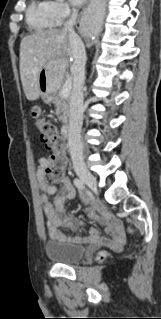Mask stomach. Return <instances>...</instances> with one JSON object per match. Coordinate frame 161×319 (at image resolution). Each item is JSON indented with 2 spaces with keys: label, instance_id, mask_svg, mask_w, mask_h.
<instances>
[{
  "label": "stomach",
  "instance_id": "0dacf381",
  "mask_svg": "<svg viewBox=\"0 0 161 319\" xmlns=\"http://www.w3.org/2000/svg\"><path fill=\"white\" fill-rule=\"evenodd\" d=\"M64 69L62 65L56 61L48 62L39 73V89L40 95L49 99L58 88L61 86L63 80Z\"/></svg>",
  "mask_w": 161,
  "mask_h": 319
}]
</instances>
